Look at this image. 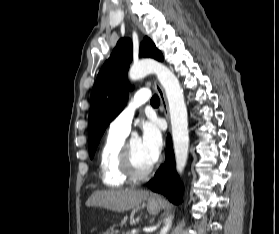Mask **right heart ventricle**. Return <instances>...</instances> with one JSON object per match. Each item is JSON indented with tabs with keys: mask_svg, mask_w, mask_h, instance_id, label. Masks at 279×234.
Wrapping results in <instances>:
<instances>
[{
	"mask_svg": "<svg viewBox=\"0 0 279 234\" xmlns=\"http://www.w3.org/2000/svg\"><path fill=\"white\" fill-rule=\"evenodd\" d=\"M126 134L109 131L99 153V168L103 183L108 187H121L129 179L121 170V147Z\"/></svg>",
	"mask_w": 279,
	"mask_h": 234,
	"instance_id": "right-heart-ventricle-1",
	"label": "right heart ventricle"
}]
</instances>
